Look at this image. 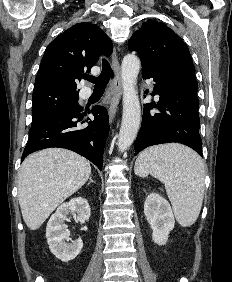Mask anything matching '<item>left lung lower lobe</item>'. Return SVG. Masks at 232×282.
<instances>
[{
    "label": "left lung lower lobe",
    "mask_w": 232,
    "mask_h": 282,
    "mask_svg": "<svg viewBox=\"0 0 232 282\" xmlns=\"http://www.w3.org/2000/svg\"><path fill=\"white\" fill-rule=\"evenodd\" d=\"M144 79L153 78L152 95L160 96L158 105L145 104L142 124L135 142V155L157 144L178 142L202 154L199 135V100L195 78L179 75H154L142 72ZM156 107L160 113H152Z\"/></svg>",
    "instance_id": "left-lung-lower-lobe-1"
}]
</instances>
